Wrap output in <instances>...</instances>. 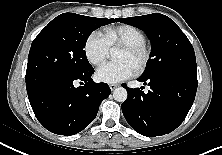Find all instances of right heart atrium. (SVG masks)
<instances>
[{"instance_id": "obj_1", "label": "right heart atrium", "mask_w": 222, "mask_h": 155, "mask_svg": "<svg viewBox=\"0 0 222 155\" xmlns=\"http://www.w3.org/2000/svg\"><path fill=\"white\" fill-rule=\"evenodd\" d=\"M110 45L100 31H93L86 39L84 50L88 61L93 65L103 63L110 53Z\"/></svg>"}]
</instances>
